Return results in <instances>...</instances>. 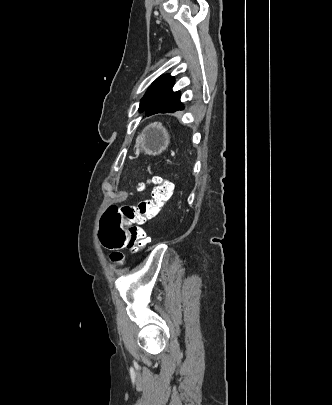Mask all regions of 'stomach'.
Here are the masks:
<instances>
[{"instance_id":"1","label":"stomach","mask_w":332,"mask_h":405,"mask_svg":"<svg viewBox=\"0 0 332 405\" xmlns=\"http://www.w3.org/2000/svg\"><path fill=\"white\" fill-rule=\"evenodd\" d=\"M168 143L166 130L160 124H151L139 136L137 150L156 156L167 149Z\"/></svg>"}]
</instances>
